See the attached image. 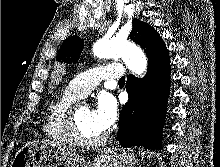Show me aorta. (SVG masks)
<instances>
[{
	"label": "aorta",
	"mask_w": 220,
	"mask_h": 167,
	"mask_svg": "<svg viewBox=\"0 0 220 167\" xmlns=\"http://www.w3.org/2000/svg\"><path fill=\"white\" fill-rule=\"evenodd\" d=\"M93 53L98 58H122L134 74L141 76L147 69L145 53L134 43L114 37L110 40H98L93 46Z\"/></svg>",
	"instance_id": "obj_1"
}]
</instances>
